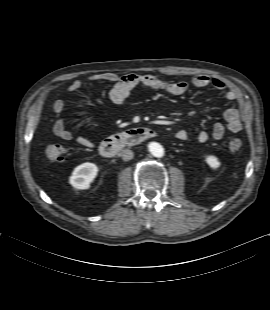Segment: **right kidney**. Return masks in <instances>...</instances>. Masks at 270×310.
I'll return each instance as SVG.
<instances>
[{
	"mask_svg": "<svg viewBox=\"0 0 270 310\" xmlns=\"http://www.w3.org/2000/svg\"><path fill=\"white\" fill-rule=\"evenodd\" d=\"M98 174V167L90 162L77 166L69 179V183L76 189H88Z\"/></svg>",
	"mask_w": 270,
	"mask_h": 310,
	"instance_id": "obj_1",
	"label": "right kidney"
}]
</instances>
